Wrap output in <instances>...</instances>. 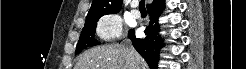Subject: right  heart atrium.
<instances>
[{
  "instance_id": "d8ad5b80",
  "label": "right heart atrium",
  "mask_w": 246,
  "mask_h": 69,
  "mask_svg": "<svg viewBox=\"0 0 246 69\" xmlns=\"http://www.w3.org/2000/svg\"><path fill=\"white\" fill-rule=\"evenodd\" d=\"M96 34L103 40H113L122 34V23L119 16L114 14L104 15L96 25Z\"/></svg>"
}]
</instances>
